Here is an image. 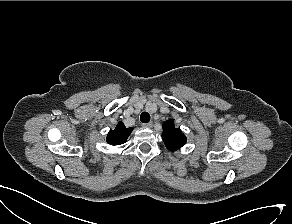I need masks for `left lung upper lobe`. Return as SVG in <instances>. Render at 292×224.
Segmentation results:
<instances>
[{"label":"left lung upper lobe","mask_w":292,"mask_h":224,"mask_svg":"<svg viewBox=\"0 0 292 224\" xmlns=\"http://www.w3.org/2000/svg\"><path fill=\"white\" fill-rule=\"evenodd\" d=\"M162 139L170 151H176L186 143V136L180 129L175 127L173 120L163 123Z\"/></svg>","instance_id":"5c2ea615"}]
</instances>
